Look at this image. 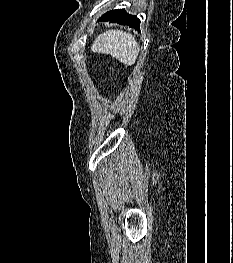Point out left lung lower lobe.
<instances>
[{"label":"left lung lower lobe","instance_id":"1","mask_svg":"<svg viewBox=\"0 0 233 263\" xmlns=\"http://www.w3.org/2000/svg\"><path fill=\"white\" fill-rule=\"evenodd\" d=\"M99 20L117 22L121 25H128L136 30L140 29V20L136 16L126 13L125 9H115L106 12Z\"/></svg>","mask_w":233,"mask_h":263}]
</instances>
